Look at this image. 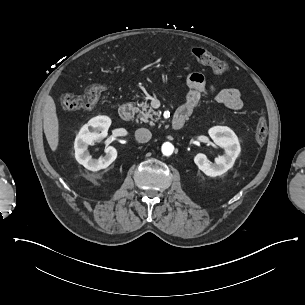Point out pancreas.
<instances>
[{
    "label": "pancreas",
    "instance_id": "1",
    "mask_svg": "<svg viewBox=\"0 0 305 305\" xmlns=\"http://www.w3.org/2000/svg\"><path fill=\"white\" fill-rule=\"evenodd\" d=\"M139 106L141 109L139 110L138 118L141 121H144L145 123H148L150 126L154 127L155 122H158V120H159L160 113L154 111L152 108H150L147 111V108H148L147 103H140Z\"/></svg>",
    "mask_w": 305,
    "mask_h": 305
}]
</instances>
